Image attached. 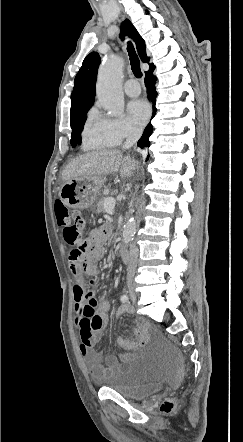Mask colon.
Returning a JSON list of instances; mask_svg holds the SVG:
<instances>
[{
  "instance_id": "obj_1",
  "label": "colon",
  "mask_w": 243,
  "mask_h": 442,
  "mask_svg": "<svg viewBox=\"0 0 243 442\" xmlns=\"http://www.w3.org/2000/svg\"><path fill=\"white\" fill-rule=\"evenodd\" d=\"M54 210L58 226L63 228V237L66 244L72 247L69 253V260L73 263L81 262L85 257L86 220L77 210H70L62 200H56ZM175 408L172 400L165 401L161 409L169 413Z\"/></svg>"
}]
</instances>
